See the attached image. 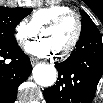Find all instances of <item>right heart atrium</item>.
I'll list each match as a JSON object with an SVG mask.
<instances>
[{
    "mask_svg": "<svg viewBox=\"0 0 103 103\" xmlns=\"http://www.w3.org/2000/svg\"><path fill=\"white\" fill-rule=\"evenodd\" d=\"M38 34V29L31 23V21L20 20L17 22L14 28V37L16 42L23 46L30 39L35 37Z\"/></svg>",
    "mask_w": 103,
    "mask_h": 103,
    "instance_id": "right-heart-atrium-1",
    "label": "right heart atrium"
}]
</instances>
